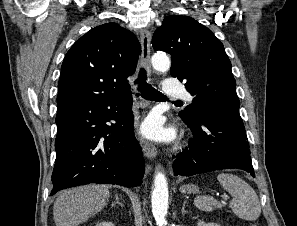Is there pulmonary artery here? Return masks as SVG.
I'll use <instances>...</instances> for the list:
<instances>
[{
  "instance_id": "pulmonary-artery-1",
  "label": "pulmonary artery",
  "mask_w": 297,
  "mask_h": 226,
  "mask_svg": "<svg viewBox=\"0 0 297 226\" xmlns=\"http://www.w3.org/2000/svg\"><path fill=\"white\" fill-rule=\"evenodd\" d=\"M163 93L166 97L171 98H183L186 100H191V95L187 90L178 85L175 78H168L164 82Z\"/></svg>"
}]
</instances>
